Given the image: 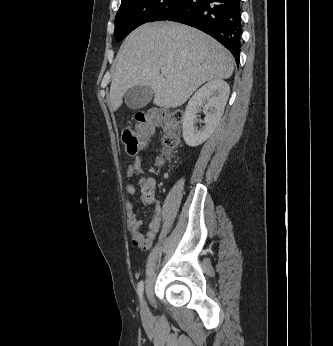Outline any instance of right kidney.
<instances>
[{"label":"right kidney","instance_id":"ca27d5eb","mask_svg":"<svg viewBox=\"0 0 333 346\" xmlns=\"http://www.w3.org/2000/svg\"><path fill=\"white\" fill-rule=\"evenodd\" d=\"M229 93L228 83L220 79L209 81L195 92L183 116L182 133L188 146L196 147L208 139L222 117ZM199 111L205 114V124L200 129L195 127Z\"/></svg>","mask_w":333,"mask_h":346}]
</instances>
